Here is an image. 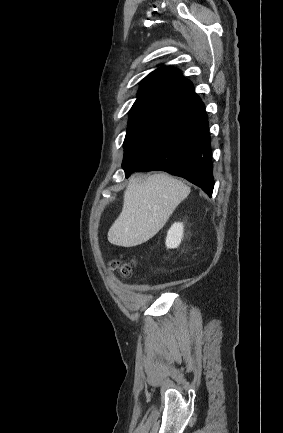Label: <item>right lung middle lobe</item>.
Wrapping results in <instances>:
<instances>
[{
  "label": "right lung middle lobe",
  "instance_id": "right-lung-middle-lobe-1",
  "mask_svg": "<svg viewBox=\"0 0 283 433\" xmlns=\"http://www.w3.org/2000/svg\"><path fill=\"white\" fill-rule=\"evenodd\" d=\"M161 115L152 111L130 110L127 134L124 140V149L138 135V133L153 119Z\"/></svg>",
  "mask_w": 283,
  "mask_h": 433
}]
</instances>
